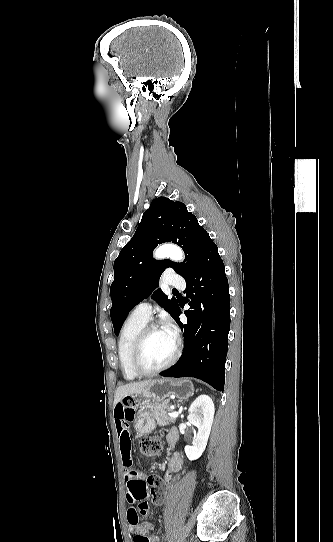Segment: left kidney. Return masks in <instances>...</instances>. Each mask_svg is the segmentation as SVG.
I'll return each mask as SVG.
<instances>
[{
  "label": "left kidney",
  "instance_id": "1",
  "mask_svg": "<svg viewBox=\"0 0 333 542\" xmlns=\"http://www.w3.org/2000/svg\"><path fill=\"white\" fill-rule=\"evenodd\" d=\"M188 412V422L198 428V434L193 442V446H185L184 450L189 460H198L207 446L215 408L211 398L206 396V394H202V396H198L194 400Z\"/></svg>",
  "mask_w": 333,
  "mask_h": 542
}]
</instances>
